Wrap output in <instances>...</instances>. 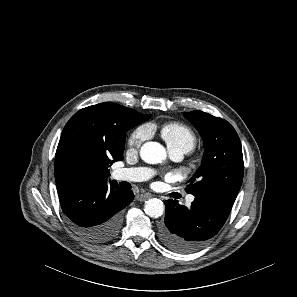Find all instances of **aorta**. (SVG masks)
<instances>
[{"label": "aorta", "mask_w": 297, "mask_h": 297, "mask_svg": "<svg viewBox=\"0 0 297 297\" xmlns=\"http://www.w3.org/2000/svg\"><path fill=\"white\" fill-rule=\"evenodd\" d=\"M140 156L143 161L150 164H156L162 162L166 158V151L160 143L150 141L142 145ZM164 209L163 202L157 198L149 199L144 205L145 213L153 218L162 216Z\"/></svg>", "instance_id": "aorta-1"}]
</instances>
